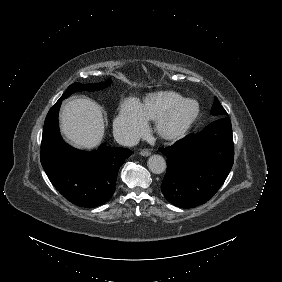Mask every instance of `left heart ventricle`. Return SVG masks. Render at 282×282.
I'll return each mask as SVG.
<instances>
[{
    "instance_id": "obj_1",
    "label": "left heart ventricle",
    "mask_w": 282,
    "mask_h": 282,
    "mask_svg": "<svg viewBox=\"0 0 282 282\" xmlns=\"http://www.w3.org/2000/svg\"><path fill=\"white\" fill-rule=\"evenodd\" d=\"M197 112L196 105L191 102L186 104L182 110L177 114L176 119H182L194 115Z\"/></svg>"
}]
</instances>
